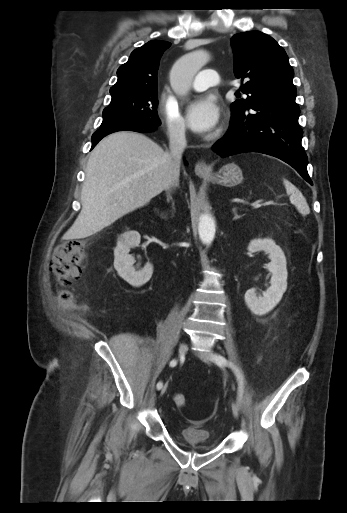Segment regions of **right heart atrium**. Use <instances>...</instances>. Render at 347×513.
<instances>
[{"label": "right heart atrium", "mask_w": 347, "mask_h": 513, "mask_svg": "<svg viewBox=\"0 0 347 513\" xmlns=\"http://www.w3.org/2000/svg\"><path fill=\"white\" fill-rule=\"evenodd\" d=\"M158 112L169 137L174 141H182L186 135L185 122L176 102L167 93H163L159 98Z\"/></svg>", "instance_id": "obj_1"}]
</instances>
